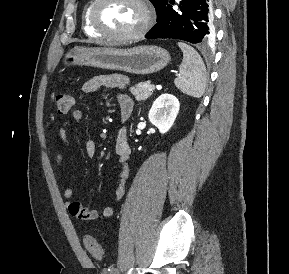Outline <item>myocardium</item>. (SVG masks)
<instances>
[{"instance_id": "1", "label": "myocardium", "mask_w": 289, "mask_h": 274, "mask_svg": "<svg viewBox=\"0 0 289 274\" xmlns=\"http://www.w3.org/2000/svg\"><path fill=\"white\" fill-rule=\"evenodd\" d=\"M107 1L108 0H93V3L90 8V12H89L90 24L93 27V29L96 32H98L101 36L106 37L111 40H115V41H133V40H137L143 37L147 33L151 24V14L144 0H133L135 3L139 5V7L142 10L143 22L136 31L127 33V34H118V33L110 32L106 30L105 28H103L98 22V19H97L98 8Z\"/></svg>"}]
</instances>
